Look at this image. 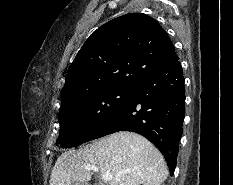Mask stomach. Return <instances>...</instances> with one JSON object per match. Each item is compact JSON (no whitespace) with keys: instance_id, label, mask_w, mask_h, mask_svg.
<instances>
[{"instance_id":"obj_1","label":"stomach","mask_w":233,"mask_h":185,"mask_svg":"<svg viewBox=\"0 0 233 185\" xmlns=\"http://www.w3.org/2000/svg\"><path fill=\"white\" fill-rule=\"evenodd\" d=\"M72 185H86L85 183H80V182H75V183H72Z\"/></svg>"}]
</instances>
